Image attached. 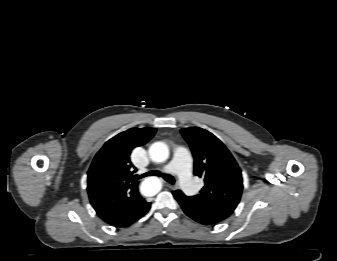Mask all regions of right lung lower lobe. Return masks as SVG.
Masks as SVG:
<instances>
[{"instance_id":"98d812e1","label":"right lung lower lobe","mask_w":337,"mask_h":261,"mask_svg":"<svg viewBox=\"0 0 337 261\" xmlns=\"http://www.w3.org/2000/svg\"><path fill=\"white\" fill-rule=\"evenodd\" d=\"M150 208V203L145 202V205L143 206V208L141 209V211L138 214H135L134 216L128 217L124 220H121L115 224H111L117 228H121V227H128L131 224H133L135 221H137L138 219H140L143 215H145L147 213V211Z\"/></svg>"}]
</instances>
